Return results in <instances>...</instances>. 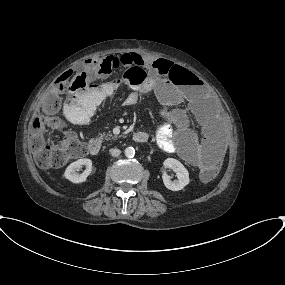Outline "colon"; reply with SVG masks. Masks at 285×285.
<instances>
[{"mask_svg":"<svg viewBox=\"0 0 285 285\" xmlns=\"http://www.w3.org/2000/svg\"><path fill=\"white\" fill-rule=\"evenodd\" d=\"M122 64L125 71L120 81L138 89H143L148 84V74L146 67L148 63L139 61L138 63H122L119 57L108 56L104 59H91L78 72L63 73L39 103V112L32 123L30 131V147L34 161L44 168L59 167L70 160L86 155V145L82 143L74 134L67 138L57 139L56 131L60 126L57 113L61 108V99L68 91H76L83 88L86 83L99 78L112 75ZM162 75L170 77L174 83L180 87L188 85L192 75L186 69H182L170 61L159 59L153 63ZM48 132L50 134H48ZM221 163L214 164L201 170L203 180H211L216 176Z\"/></svg>","mask_w":285,"mask_h":285,"instance_id":"5ec220e1","label":"colon"}]
</instances>
